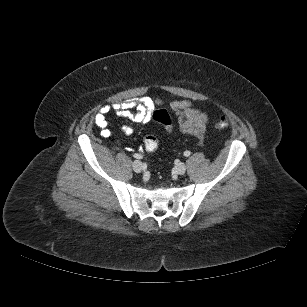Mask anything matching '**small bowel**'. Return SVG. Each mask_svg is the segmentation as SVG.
<instances>
[{
	"mask_svg": "<svg viewBox=\"0 0 307 307\" xmlns=\"http://www.w3.org/2000/svg\"><path fill=\"white\" fill-rule=\"evenodd\" d=\"M163 104H168L170 109L177 115L179 130L183 134L192 136L197 141L203 139L209 117L200 109L195 108L188 100L174 99L164 101L160 98L143 96L101 107L94 116V122L100 128L101 135L108 138L111 136V130L107 121V115L110 112L113 111L116 115L134 123L145 124L151 120L155 107ZM120 130L126 135L133 133V128L129 125L120 126Z\"/></svg>",
	"mask_w": 307,
	"mask_h": 307,
	"instance_id": "small-bowel-1",
	"label": "small bowel"
}]
</instances>
